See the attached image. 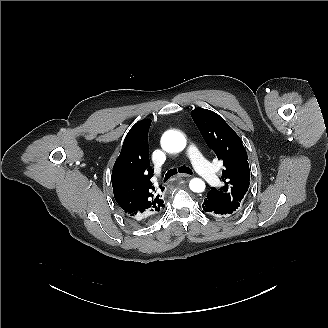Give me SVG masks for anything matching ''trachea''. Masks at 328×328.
I'll list each match as a JSON object with an SVG mask.
<instances>
[{
    "label": "trachea",
    "instance_id": "1",
    "mask_svg": "<svg viewBox=\"0 0 328 328\" xmlns=\"http://www.w3.org/2000/svg\"><path fill=\"white\" fill-rule=\"evenodd\" d=\"M177 172L182 173V174H192V170L186 166H181L176 170L175 168L170 169L164 178V181H167L171 176H174L177 174Z\"/></svg>",
    "mask_w": 328,
    "mask_h": 328
}]
</instances>
